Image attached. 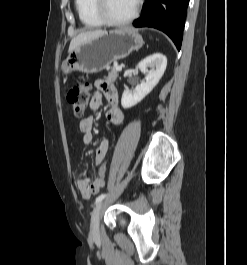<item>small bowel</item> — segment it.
I'll list each match as a JSON object with an SVG mask.
<instances>
[{
  "mask_svg": "<svg viewBox=\"0 0 247 265\" xmlns=\"http://www.w3.org/2000/svg\"><path fill=\"white\" fill-rule=\"evenodd\" d=\"M96 92L92 96L90 102V109L96 111L103 101V96L108 101L110 107L106 113L107 120L114 124L119 125L124 120V114L118 106V93L116 88L109 82L103 80H97L95 82ZM93 117L91 115L86 116L80 120L79 129L82 133V143L85 146H89L93 142ZM109 149V140L104 138L95 153V163H100L105 159ZM104 183L99 179L90 180L84 173H80L76 179V186L81 193V196L85 199L90 198L99 192Z\"/></svg>",
  "mask_w": 247,
  "mask_h": 265,
  "instance_id": "1",
  "label": "small bowel"
}]
</instances>
